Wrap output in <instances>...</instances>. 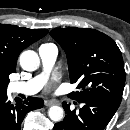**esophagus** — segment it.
<instances>
[{"label":"esophagus","mask_w":130,"mask_h":130,"mask_svg":"<svg viewBox=\"0 0 130 130\" xmlns=\"http://www.w3.org/2000/svg\"><path fill=\"white\" fill-rule=\"evenodd\" d=\"M44 104H45V106L49 107V106H52V105L59 104V102L56 101V100H45Z\"/></svg>","instance_id":"34e87169"}]
</instances>
